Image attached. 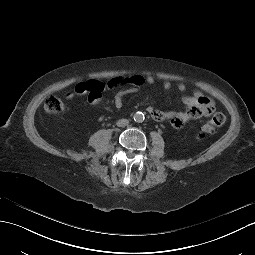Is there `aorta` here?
<instances>
[{"mask_svg": "<svg viewBox=\"0 0 255 255\" xmlns=\"http://www.w3.org/2000/svg\"><path fill=\"white\" fill-rule=\"evenodd\" d=\"M133 119L136 123H142L145 119L144 114L142 112H136L133 115Z\"/></svg>", "mask_w": 255, "mask_h": 255, "instance_id": "762f6f07", "label": "aorta"}]
</instances>
